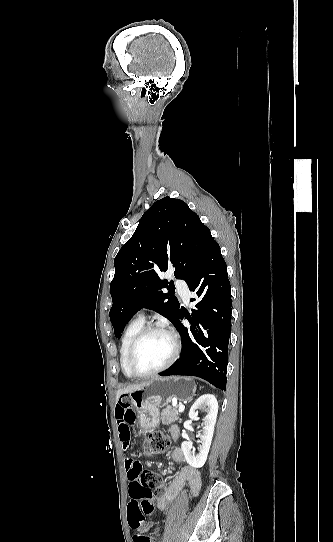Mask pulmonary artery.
Here are the masks:
<instances>
[{
	"label": "pulmonary artery",
	"mask_w": 333,
	"mask_h": 542,
	"mask_svg": "<svg viewBox=\"0 0 333 542\" xmlns=\"http://www.w3.org/2000/svg\"><path fill=\"white\" fill-rule=\"evenodd\" d=\"M176 288L179 291L180 295L183 296V301L185 303H188V299L185 298V297L189 295L190 290L187 287L186 283L183 282V281H180V282L177 283ZM137 319L144 321L145 320V315L144 314H138Z\"/></svg>",
	"instance_id": "e3ab8cb5"
}]
</instances>
